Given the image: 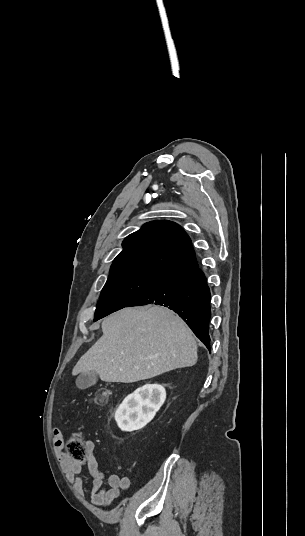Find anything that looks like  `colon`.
<instances>
[{
  "instance_id": "obj_1",
  "label": "colon",
  "mask_w": 305,
  "mask_h": 536,
  "mask_svg": "<svg viewBox=\"0 0 305 536\" xmlns=\"http://www.w3.org/2000/svg\"><path fill=\"white\" fill-rule=\"evenodd\" d=\"M110 392L107 389L99 390L92 398V402L97 405H105L109 400ZM80 436V433H77ZM66 445L70 450H74L71 454V459L74 462H79L82 459V454H87L89 446L87 443H82L81 439H76L73 435H68L65 438Z\"/></svg>"
}]
</instances>
